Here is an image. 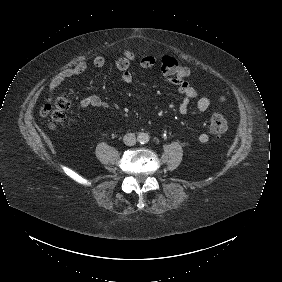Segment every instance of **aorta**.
<instances>
[{
    "label": "aorta",
    "mask_w": 282,
    "mask_h": 282,
    "mask_svg": "<svg viewBox=\"0 0 282 282\" xmlns=\"http://www.w3.org/2000/svg\"><path fill=\"white\" fill-rule=\"evenodd\" d=\"M150 140V135L146 132H139L137 134V141L140 144H147Z\"/></svg>",
    "instance_id": "1"
}]
</instances>
